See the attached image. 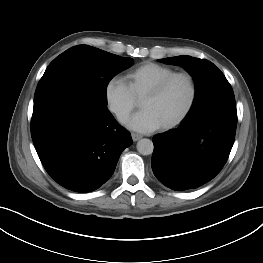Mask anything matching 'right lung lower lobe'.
<instances>
[{"label":"right lung lower lobe","mask_w":263,"mask_h":263,"mask_svg":"<svg viewBox=\"0 0 263 263\" xmlns=\"http://www.w3.org/2000/svg\"><path fill=\"white\" fill-rule=\"evenodd\" d=\"M31 136L48 174L61 186L87 193L113 174L130 133L108 109H98L76 96L34 105Z\"/></svg>","instance_id":"98d812e1"}]
</instances>
